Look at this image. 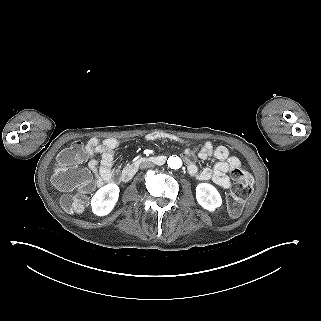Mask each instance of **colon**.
I'll use <instances>...</instances> for the list:
<instances>
[{
	"instance_id": "obj_1",
	"label": "colon",
	"mask_w": 321,
	"mask_h": 321,
	"mask_svg": "<svg viewBox=\"0 0 321 321\" xmlns=\"http://www.w3.org/2000/svg\"><path fill=\"white\" fill-rule=\"evenodd\" d=\"M85 158V146L82 142H75L63 149L56 158L54 184L60 189L74 190L62 198L63 208L70 213L83 212L89 199L92 181L88 172L80 166ZM231 176L235 186L228 197L227 205L230 214L238 216L253 191V179L241 165L231 170Z\"/></svg>"
}]
</instances>
